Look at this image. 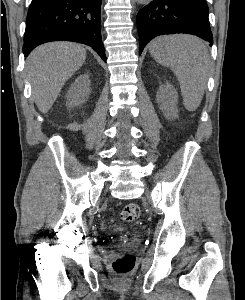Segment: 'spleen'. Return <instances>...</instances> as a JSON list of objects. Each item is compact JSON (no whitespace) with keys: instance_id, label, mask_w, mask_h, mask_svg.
Listing matches in <instances>:
<instances>
[{"instance_id":"obj_1","label":"spleen","mask_w":245,"mask_h":300,"mask_svg":"<svg viewBox=\"0 0 245 300\" xmlns=\"http://www.w3.org/2000/svg\"><path fill=\"white\" fill-rule=\"evenodd\" d=\"M149 51L155 61L170 67L177 76L185 108L197 109L204 95L210 65L204 43L188 35L161 36L150 43Z\"/></svg>"}]
</instances>
